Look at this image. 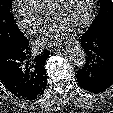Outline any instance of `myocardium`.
<instances>
[{
  "label": "myocardium",
  "instance_id": "obj_1",
  "mask_svg": "<svg viewBox=\"0 0 113 113\" xmlns=\"http://www.w3.org/2000/svg\"><path fill=\"white\" fill-rule=\"evenodd\" d=\"M60 2H61V0H52L50 2V5H49L48 11H47V16L49 19L52 17L56 7L58 6V4ZM94 5H95V0H89L87 13H86L84 19L81 22H79L77 25L74 26L75 30L83 29L91 23V21L93 20V17H94Z\"/></svg>",
  "mask_w": 113,
  "mask_h": 113
}]
</instances>
